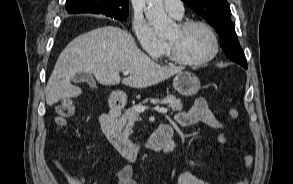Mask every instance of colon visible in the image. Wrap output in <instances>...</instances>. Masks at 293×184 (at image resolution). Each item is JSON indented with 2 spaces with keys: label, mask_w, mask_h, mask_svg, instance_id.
I'll return each mask as SVG.
<instances>
[{
  "label": "colon",
  "mask_w": 293,
  "mask_h": 184,
  "mask_svg": "<svg viewBox=\"0 0 293 184\" xmlns=\"http://www.w3.org/2000/svg\"><path fill=\"white\" fill-rule=\"evenodd\" d=\"M56 112L57 124L59 126H63L66 124L67 120H69L73 116L75 108L70 99H64L57 106ZM228 113L232 119H238L239 117V112L234 108L229 109ZM252 163L253 157L251 155H245L243 158L244 174L242 178L236 182V184H248V172L252 166Z\"/></svg>",
  "instance_id": "obj_1"
}]
</instances>
